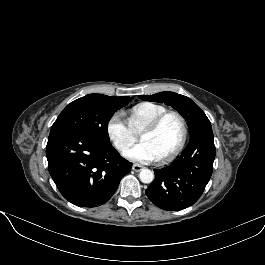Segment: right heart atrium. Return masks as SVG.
Returning a JSON list of instances; mask_svg holds the SVG:
<instances>
[{
    "mask_svg": "<svg viewBox=\"0 0 265 265\" xmlns=\"http://www.w3.org/2000/svg\"><path fill=\"white\" fill-rule=\"evenodd\" d=\"M106 130L119 151L127 149L136 139L134 131L120 112H115L109 117Z\"/></svg>",
    "mask_w": 265,
    "mask_h": 265,
    "instance_id": "1",
    "label": "right heart atrium"
}]
</instances>
